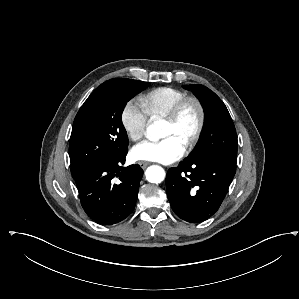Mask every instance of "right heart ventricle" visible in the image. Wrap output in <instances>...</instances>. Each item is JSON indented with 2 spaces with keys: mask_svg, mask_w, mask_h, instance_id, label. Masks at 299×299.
I'll use <instances>...</instances> for the list:
<instances>
[{
  "mask_svg": "<svg viewBox=\"0 0 299 299\" xmlns=\"http://www.w3.org/2000/svg\"><path fill=\"white\" fill-rule=\"evenodd\" d=\"M186 93L174 87H159L142 96L140 102L151 119L164 118Z\"/></svg>",
  "mask_w": 299,
  "mask_h": 299,
  "instance_id": "e07e8e85",
  "label": "right heart ventricle"
}]
</instances>
